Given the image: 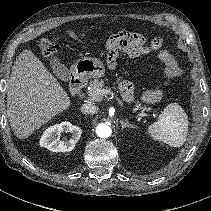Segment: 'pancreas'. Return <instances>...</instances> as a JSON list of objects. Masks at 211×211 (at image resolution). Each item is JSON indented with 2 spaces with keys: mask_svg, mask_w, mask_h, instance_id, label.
<instances>
[{
  "mask_svg": "<svg viewBox=\"0 0 211 211\" xmlns=\"http://www.w3.org/2000/svg\"><path fill=\"white\" fill-rule=\"evenodd\" d=\"M109 91L106 89L104 81L103 80H98L95 79L94 81L90 82V88L88 90V96L93 100V101H101L105 93ZM134 111L137 110H146L150 111L151 108L149 107H143L141 106V103L137 101L135 103V108L133 109Z\"/></svg>",
  "mask_w": 211,
  "mask_h": 211,
  "instance_id": "cf45deb5",
  "label": "pancreas"
}]
</instances>
